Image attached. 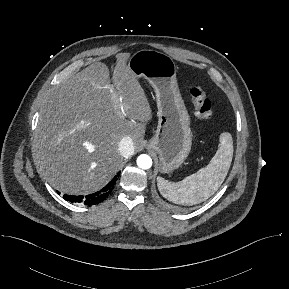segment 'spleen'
Returning a JSON list of instances; mask_svg holds the SVG:
<instances>
[{"label": "spleen", "mask_w": 289, "mask_h": 289, "mask_svg": "<svg viewBox=\"0 0 289 289\" xmlns=\"http://www.w3.org/2000/svg\"><path fill=\"white\" fill-rule=\"evenodd\" d=\"M233 141L230 133L220 136V146L209 164L180 182L157 178L162 196L176 204L194 205L211 197L221 186L231 165Z\"/></svg>", "instance_id": "1"}]
</instances>
